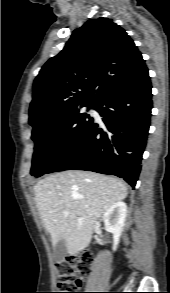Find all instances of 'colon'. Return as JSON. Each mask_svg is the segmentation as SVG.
I'll return each instance as SVG.
<instances>
[{"mask_svg":"<svg viewBox=\"0 0 170 293\" xmlns=\"http://www.w3.org/2000/svg\"><path fill=\"white\" fill-rule=\"evenodd\" d=\"M92 262V255L82 253L79 256L71 257L64 262L56 264V273L59 281L58 293H80L75 292L80 288L81 278L89 275Z\"/></svg>","mask_w":170,"mask_h":293,"instance_id":"5ec220e1","label":"colon"}]
</instances>
